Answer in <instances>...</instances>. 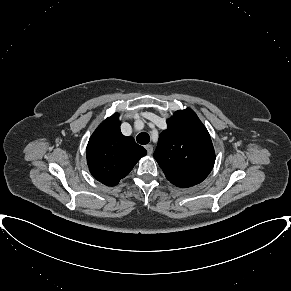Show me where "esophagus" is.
Here are the masks:
<instances>
[{
	"label": "esophagus",
	"mask_w": 291,
	"mask_h": 291,
	"mask_svg": "<svg viewBox=\"0 0 291 291\" xmlns=\"http://www.w3.org/2000/svg\"><path fill=\"white\" fill-rule=\"evenodd\" d=\"M145 148H146L148 154H152V152H153V147H152L151 144L146 145Z\"/></svg>",
	"instance_id": "34e87169"
}]
</instances>
